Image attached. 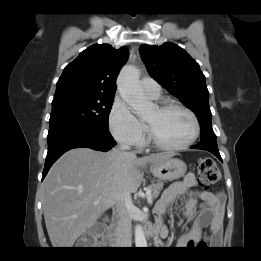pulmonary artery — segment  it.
Returning a JSON list of instances; mask_svg holds the SVG:
<instances>
[{"label":"pulmonary artery","mask_w":261,"mask_h":261,"mask_svg":"<svg viewBox=\"0 0 261 261\" xmlns=\"http://www.w3.org/2000/svg\"><path fill=\"white\" fill-rule=\"evenodd\" d=\"M143 91L153 99H157L161 94V87L154 79L144 77L140 81Z\"/></svg>","instance_id":"e3ab8cb5"}]
</instances>
